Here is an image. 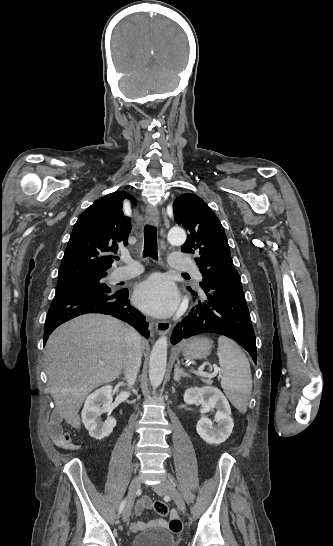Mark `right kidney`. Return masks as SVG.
<instances>
[{"instance_id": "1", "label": "right kidney", "mask_w": 333, "mask_h": 546, "mask_svg": "<svg viewBox=\"0 0 333 546\" xmlns=\"http://www.w3.org/2000/svg\"><path fill=\"white\" fill-rule=\"evenodd\" d=\"M112 386L106 385L95 390L85 400L81 413L82 422L89 435L97 440L109 436L116 426V420L108 417L104 422L100 419L103 413L110 414L112 407Z\"/></svg>"}]
</instances>
